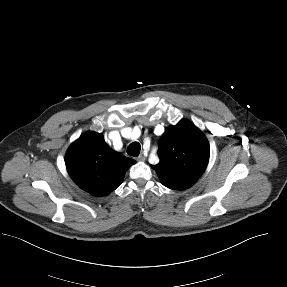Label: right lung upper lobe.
<instances>
[{
    "instance_id": "cb5924a9",
    "label": "right lung upper lobe",
    "mask_w": 287,
    "mask_h": 287,
    "mask_svg": "<svg viewBox=\"0 0 287 287\" xmlns=\"http://www.w3.org/2000/svg\"><path fill=\"white\" fill-rule=\"evenodd\" d=\"M135 161L112 150L101 133L86 132L71 144L65 156L72 180L94 196L108 195Z\"/></svg>"
}]
</instances>
